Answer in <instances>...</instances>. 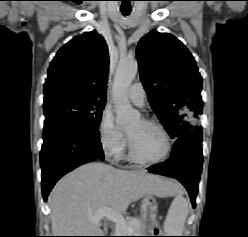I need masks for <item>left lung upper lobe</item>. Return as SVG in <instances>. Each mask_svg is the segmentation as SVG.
Instances as JSON below:
<instances>
[{
    "label": "left lung upper lobe",
    "instance_id": "5c2ea615",
    "mask_svg": "<svg viewBox=\"0 0 248 237\" xmlns=\"http://www.w3.org/2000/svg\"><path fill=\"white\" fill-rule=\"evenodd\" d=\"M137 59L148 100L170 136L198 128L202 77L183 43L169 33L151 31L139 41Z\"/></svg>",
    "mask_w": 248,
    "mask_h": 237
}]
</instances>
